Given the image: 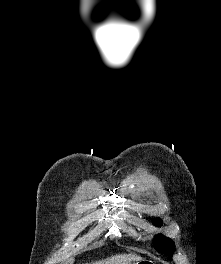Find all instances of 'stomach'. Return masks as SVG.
Instances as JSON below:
<instances>
[{"label": "stomach", "instance_id": "stomach-1", "mask_svg": "<svg viewBox=\"0 0 221 264\" xmlns=\"http://www.w3.org/2000/svg\"><path fill=\"white\" fill-rule=\"evenodd\" d=\"M134 264H155V263L151 260H140Z\"/></svg>", "mask_w": 221, "mask_h": 264}]
</instances>
